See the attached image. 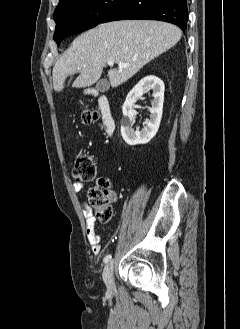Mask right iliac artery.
I'll return each mask as SVG.
<instances>
[{"label": "right iliac artery", "mask_w": 240, "mask_h": 329, "mask_svg": "<svg viewBox=\"0 0 240 329\" xmlns=\"http://www.w3.org/2000/svg\"><path fill=\"white\" fill-rule=\"evenodd\" d=\"M111 258H112V256H111L110 254L107 255V256L104 258V262H105V263L110 262Z\"/></svg>", "instance_id": "1"}]
</instances>
